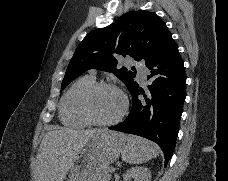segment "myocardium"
<instances>
[{"mask_svg":"<svg viewBox=\"0 0 228 181\" xmlns=\"http://www.w3.org/2000/svg\"><path fill=\"white\" fill-rule=\"evenodd\" d=\"M101 88H113V89L117 90L123 100V107H122L121 111L115 117L108 119V120H100V119L95 118L91 112L89 102H88L90 95L93 92H95ZM128 105H129V102H128V98H127L126 94L117 85H115L113 82H110V81H101V82L93 83L83 93V95L81 96L80 102H79V108H80L82 116L88 122L95 124V125H99V126H109V125L115 124L118 121H120L124 117V115L128 109Z\"/></svg>","mask_w":228,"mask_h":181,"instance_id":"myocardium-1","label":"myocardium"}]
</instances>
